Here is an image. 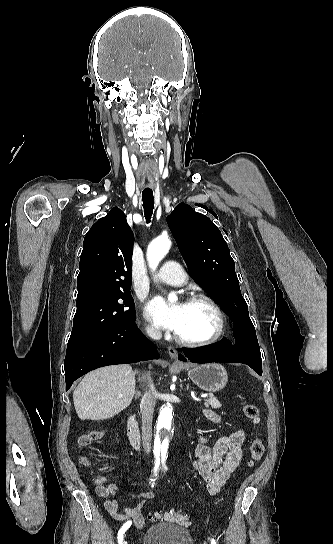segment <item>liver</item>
Segmentation results:
<instances>
[{
	"label": "liver",
	"mask_w": 333,
	"mask_h": 544,
	"mask_svg": "<svg viewBox=\"0 0 333 544\" xmlns=\"http://www.w3.org/2000/svg\"><path fill=\"white\" fill-rule=\"evenodd\" d=\"M134 393L132 367L107 366L88 373L82 379L74 390L73 402L81 420H106L126 409Z\"/></svg>",
	"instance_id": "obj_1"
}]
</instances>
